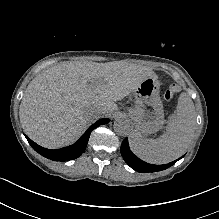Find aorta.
<instances>
[{
	"label": "aorta",
	"instance_id": "1",
	"mask_svg": "<svg viewBox=\"0 0 219 219\" xmlns=\"http://www.w3.org/2000/svg\"><path fill=\"white\" fill-rule=\"evenodd\" d=\"M114 130L119 136H128L131 133V123L127 118L120 117L114 122Z\"/></svg>",
	"mask_w": 219,
	"mask_h": 219
}]
</instances>
